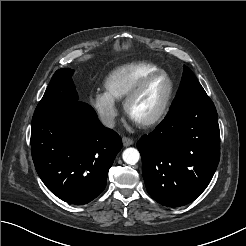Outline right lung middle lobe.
<instances>
[{"instance_id":"dd1d6c3e","label":"right lung middle lobe","mask_w":246,"mask_h":246,"mask_svg":"<svg viewBox=\"0 0 246 246\" xmlns=\"http://www.w3.org/2000/svg\"><path fill=\"white\" fill-rule=\"evenodd\" d=\"M72 74L73 70L69 68H62L54 73L33 117L60 114L78 101Z\"/></svg>"}]
</instances>
